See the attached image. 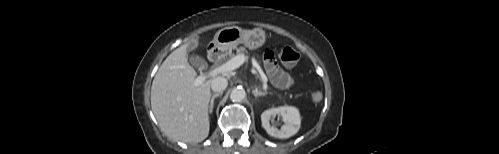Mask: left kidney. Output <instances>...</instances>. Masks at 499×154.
I'll use <instances>...</instances> for the list:
<instances>
[{"mask_svg":"<svg viewBox=\"0 0 499 154\" xmlns=\"http://www.w3.org/2000/svg\"><path fill=\"white\" fill-rule=\"evenodd\" d=\"M276 115L281 116L284 122L281 129H277L270 125V120H273ZM261 121L262 126L269 135L275 138L285 139L298 132L301 124V117L299 110L296 107L286 105L264 111L261 115Z\"/></svg>","mask_w":499,"mask_h":154,"instance_id":"obj_1","label":"left kidney"}]
</instances>
